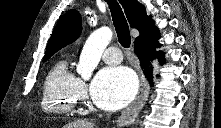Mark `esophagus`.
Masks as SVG:
<instances>
[{
	"label": "esophagus",
	"mask_w": 221,
	"mask_h": 128,
	"mask_svg": "<svg viewBox=\"0 0 221 128\" xmlns=\"http://www.w3.org/2000/svg\"><path fill=\"white\" fill-rule=\"evenodd\" d=\"M147 93H148V83L145 76L142 74L140 80L139 92L135 100L128 107L122 110L117 120V124L119 126H128L135 120L136 116L138 115L139 111L141 110L142 106L146 101Z\"/></svg>",
	"instance_id": "1"
}]
</instances>
